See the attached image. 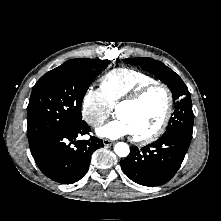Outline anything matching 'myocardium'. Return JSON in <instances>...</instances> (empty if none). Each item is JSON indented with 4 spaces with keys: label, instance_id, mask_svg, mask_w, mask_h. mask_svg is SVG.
<instances>
[{
    "label": "myocardium",
    "instance_id": "myocardium-1",
    "mask_svg": "<svg viewBox=\"0 0 221 221\" xmlns=\"http://www.w3.org/2000/svg\"><path fill=\"white\" fill-rule=\"evenodd\" d=\"M155 88H161L167 96V107L163 119L161 120L158 127L151 133L144 136H134L132 135V140L137 144H149L156 141L166 130L168 123L171 119L173 107H174V97L170 88L162 82H153L144 85L134 91L132 94L121 99L115 106V113L118 109L125 105H135L139 103L151 90Z\"/></svg>",
    "mask_w": 221,
    "mask_h": 221
}]
</instances>
